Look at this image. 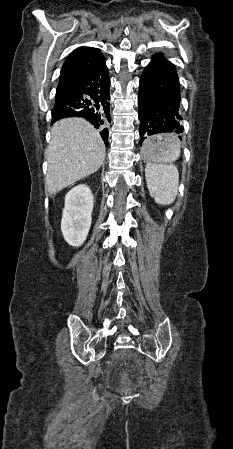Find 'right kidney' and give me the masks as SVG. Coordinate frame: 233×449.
I'll list each match as a JSON object with an SVG mask.
<instances>
[{
	"instance_id": "ca27d5eb",
	"label": "right kidney",
	"mask_w": 233,
	"mask_h": 449,
	"mask_svg": "<svg viewBox=\"0 0 233 449\" xmlns=\"http://www.w3.org/2000/svg\"><path fill=\"white\" fill-rule=\"evenodd\" d=\"M93 206V194L84 184L72 188L66 194L61 231L69 245L79 247L86 240L91 227Z\"/></svg>"
}]
</instances>
